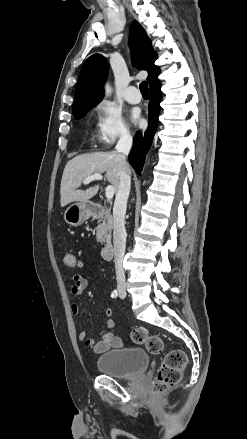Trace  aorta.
I'll list each match as a JSON object with an SVG mask.
<instances>
[{"label": "aorta", "mask_w": 247, "mask_h": 439, "mask_svg": "<svg viewBox=\"0 0 247 439\" xmlns=\"http://www.w3.org/2000/svg\"><path fill=\"white\" fill-rule=\"evenodd\" d=\"M111 92H112L111 87L109 85H106V87H105V94L108 96V95L111 94Z\"/></svg>", "instance_id": "1"}]
</instances>
